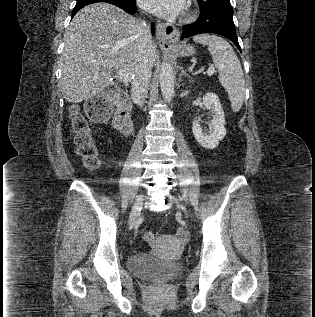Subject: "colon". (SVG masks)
Instances as JSON below:
<instances>
[{
	"label": "colon",
	"mask_w": 315,
	"mask_h": 317,
	"mask_svg": "<svg viewBox=\"0 0 315 317\" xmlns=\"http://www.w3.org/2000/svg\"><path fill=\"white\" fill-rule=\"evenodd\" d=\"M111 98L112 93L107 91L90 98L85 104L84 113L76 107L70 109L71 133L77 145V152L89 171L99 167L100 158L87 118L95 121L107 120L112 112ZM141 235L146 243L151 244L155 240V233L150 229H142Z\"/></svg>",
	"instance_id": "1"
}]
</instances>
